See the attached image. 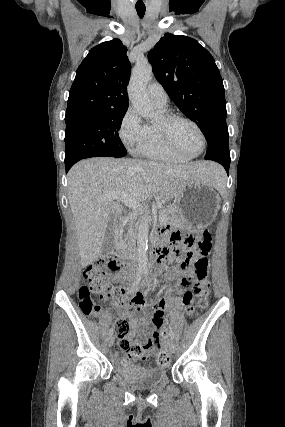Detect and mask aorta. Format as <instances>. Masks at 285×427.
I'll use <instances>...</instances> for the list:
<instances>
[{"label": "aorta", "instance_id": "1", "mask_svg": "<svg viewBox=\"0 0 285 427\" xmlns=\"http://www.w3.org/2000/svg\"><path fill=\"white\" fill-rule=\"evenodd\" d=\"M152 66L149 63H136L128 85L129 99L135 110L144 118L152 119L155 116L153 105L147 94V84L152 79ZM149 216L141 221L138 228V264L140 269L147 267V244L149 232Z\"/></svg>", "mask_w": 285, "mask_h": 427}]
</instances>
